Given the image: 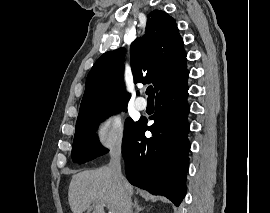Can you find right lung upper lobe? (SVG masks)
<instances>
[{
    "label": "right lung upper lobe",
    "mask_w": 270,
    "mask_h": 213,
    "mask_svg": "<svg viewBox=\"0 0 270 213\" xmlns=\"http://www.w3.org/2000/svg\"><path fill=\"white\" fill-rule=\"evenodd\" d=\"M134 82L152 83L157 93L186 71V53L175 20L154 10L145 35L130 48ZM124 49L104 53L90 70L77 122L100 112L126 106L130 95L123 85ZM139 94V93H138Z\"/></svg>",
    "instance_id": "1"
}]
</instances>
